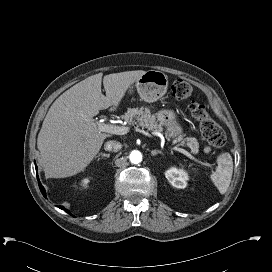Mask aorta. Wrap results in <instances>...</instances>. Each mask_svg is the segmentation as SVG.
<instances>
[{
    "label": "aorta",
    "instance_id": "1",
    "mask_svg": "<svg viewBox=\"0 0 272 272\" xmlns=\"http://www.w3.org/2000/svg\"><path fill=\"white\" fill-rule=\"evenodd\" d=\"M130 162L133 164H138L142 161V154L138 150H133L129 155Z\"/></svg>",
    "mask_w": 272,
    "mask_h": 272
}]
</instances>
